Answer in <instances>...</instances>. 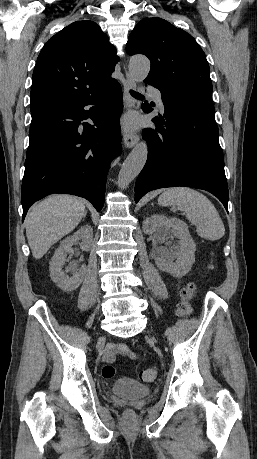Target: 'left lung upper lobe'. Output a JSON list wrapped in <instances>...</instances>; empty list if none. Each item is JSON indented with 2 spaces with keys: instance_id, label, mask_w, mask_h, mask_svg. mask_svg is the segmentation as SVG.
I'll return each mask as SVG.
<instances>
[{
  "instance_id": "1",
  "label": "left lung upper lobe",
  "mask_w": 257,
  "mask_h": 459,
  "mask_svg": "<svg viewBox=\"0 0 257 459\" xmlns=\"http://www.w3.org/2000/svg\"><path fill=\"white\" fill-rule=\"evenodd\" d=\"M129 55L151 62L145 82L163 91L212 93L209 64L195 39L161 18L142 19L128 38Z\"/></svg>"
}]
</instances>
